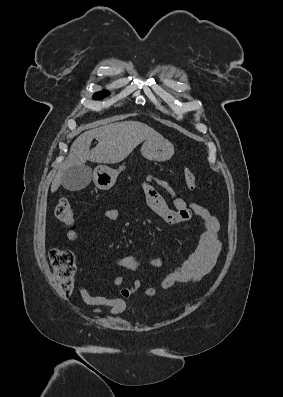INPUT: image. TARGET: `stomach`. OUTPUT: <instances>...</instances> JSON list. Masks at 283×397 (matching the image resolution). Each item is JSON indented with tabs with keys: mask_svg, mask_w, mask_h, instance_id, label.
<instances>
[{
	"mask_svg": "<svg viewBox=\"0 0 283 397\" xmlns=\"http://www.w3.org/2000/svg\"><path fill=\"white\" fill-rule=\"evenodd\" d=\"M144 158L151 161H166L174 154V146L167 139L146 140L141 148ZM124 169L120 166L118 170L106 165H99L94 169L93 179L95 185L101 190L110 189L116 182L117 176Z\"/></svg>",
	"mask_w": 283,
	"mask_h": 397,
	"instance_id": "0dacf381",
	"label": "stomach"
}]
</instances>
